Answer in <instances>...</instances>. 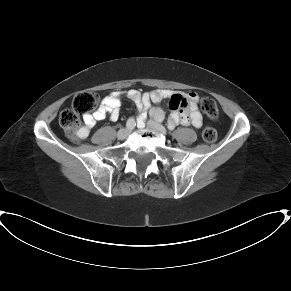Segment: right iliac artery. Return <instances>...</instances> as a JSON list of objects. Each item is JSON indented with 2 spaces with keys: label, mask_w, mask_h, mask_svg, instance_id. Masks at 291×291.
<instances>
[{
  "label": "right iliac artery",
  "mask_w": 291,
  "mask_h": 291,
  "mask_svg": "<svg viewBox=\"0 0 291 291\" xmlns=\"http://www.w3.org/2000/svg\"><path fill=\"white\" fill-rule=\"evenodd\" d=\"M135 125H136V123H135L134 118H129L126 122V127L129 130H132L135 127Z\"/></svg>",
  "instance_id": "82829eb1"
}]
</instances>
